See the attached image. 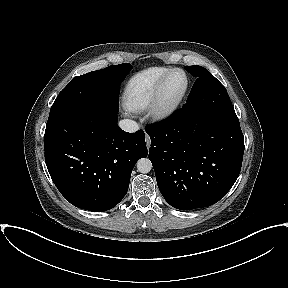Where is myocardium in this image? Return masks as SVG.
Here are the masks:
<instances>
[{
    "label": "myocardium",
    "instance_id": "obj_1",
    "mask_svg": "<svg viewBox=\"0 0 288 288\" xmlns=\"http://www.w3.org/2000/svg\"><path fill=\"white\" fill-rule=\"evenodd\" d=\"M175 72H180L183 74L185 78V84L181 93L173 101L167 103L164 101V96H163L164 88L169 77ZM188 86H189L188 75L183 69L171 68L169 71H167L159 80L156 86L152 101L149 105L150 116L156 121H161L170 117L172 114H174L176 110L179 108L180 104L182 103L187 93Z\"/></svg>",
    "mask_w": 288,
    "mask_h": 288
}]
</instances>
